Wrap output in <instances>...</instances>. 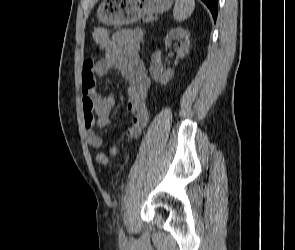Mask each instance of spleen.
I'll list each match as a JSON object with an SVG mask.
<instances>
[{"instance_id": "1", "label": "spleen", "mask_w": 295, "mask_h": 250, "mask_svg": "<svg viewBox=\"0 0 295 250\" xmlns=\"http://www.w3.org/2000/svg\"><path fill=\"white\" fill-rule=\"evenodd\" d=\"M195 8L194 0H176L173 17L175 21L181 22L193 13Z\"/></svg>"}]
</instances>
